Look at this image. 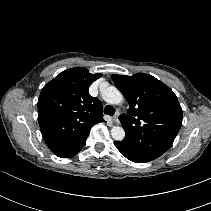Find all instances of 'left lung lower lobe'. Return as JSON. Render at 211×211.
<instances>
[{
    "label": "left lung lower lobe",
    "mask_w": 211,
    "mask_h": 211,
    "mask_svg": "<svg viewBox=\"0 0 211 211\" xmlns=\"http://www.w3.org/2000/svg\"><path fill=\"white\" fill-rule=\"evenodd\" d=\"M115 146L117 149L129 160L136 162V163H144L147 162L136 155L132 154L121 142L115 141Z\"/></svg>",
    "instance_id": "left-lung-lower-lobe-1"
}]
</instances>
